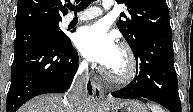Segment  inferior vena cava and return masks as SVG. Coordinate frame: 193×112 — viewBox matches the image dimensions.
<instances>
[{"label":"inferior vena cava","mask_w":193,"mask_h":112,"mask_svg":"<svg viewBox=\"0 0 193 112\" xmlns=\"http://www.w3.org/2000/svg\"><path fill=\"white\" fill-rule=\"evenodd\" d=\"M87 83L88 66L86 63H81L66 99V102L71 107L72 112H83L85 99L88 97Z\"/></svg>","instance_id":"obj_1"}]
</instances>
